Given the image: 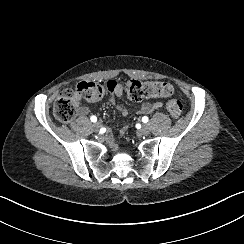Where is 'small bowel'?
<instances>
[{"mask_svg":"<svg viewBox=\"0 0 244 244\" xmlns=\"http://www.w3.org/2000/svg\"><path fill=\"white\" fill-rule=\"evenodd\" d=\"M107 87L111 93V96L109 98V101L111 104L116 106L117 111L120 115L126 116L128 111L127 109L119 104H116V98L121 97L124 94V87L120 82L116 81H109L107 83ZM162 106L161 103H143L139 108V113L141 114H149L157 109H159ZM90 109L88 106L85 105H79L78 106V114L80 116H86L89 113ZM127 130V127H123L120 131L121 134L125 133Z\"/></svg>","mask_w":244,"mask_h":244,"instance_id":"c3829d8e","label":"small bowel"}]
</instances>
